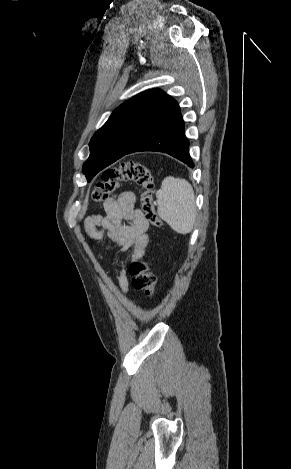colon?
Wrapping results in <instances>:
<instances>
[{
  "label": "colon",
  "mask_w": 291,
  "mask_h": 469,
  "mask_svg": "<svg viewBox=\"0 0 291 469\" xmlns=\"http://www.w3.org/2000/svg\"><path fill=\"white\" fill-rule=\"evenodd\" d=\"M134 181L142 189L141 204L144 216L153 227H161V220L156 211L153 189L154 179L150 169L139 162H125L118 167L108 169L102 174V179L92 191V200L102 202L109 199L122 182ZM132 283L136 290L147 296H152L157 290V278L150 271L146 260L133 261L129 267Z\"/></svg>",
  "instance_id": "5ec220e1"
}]
</instances>
